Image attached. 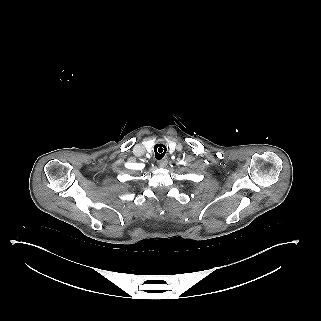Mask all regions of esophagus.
Segmentation results:
<instances>
[{
	"instance_id": "esophagus-1",
	"label": "esophagus",
	"mask_w": 321,
	"mask_h": 321,
	"mask_svg": "<svg viewBox=\"0 0 321 321\" xmlns=\"http://www.w3.org/2000/svg\"><path fill=\"white\" fill-rule=\"evenodd\" d=\"M166 165H167V161H163V162L160 164L161 167H165Z\"/></svg>"
}]
</instances>
